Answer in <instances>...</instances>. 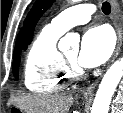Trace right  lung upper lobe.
<instances>
[{"instance_id":"right-lung-upper-lobe-1","label":"right lung upper lobe","mask_w":123,"mask_h":113,"mask_svg":"<svg viewBox=\"0 0 123 113\" xmlns=\"http://www.w3.org/2000/svg\"><path fill=\"white\" fill-rule=\"evenodd\" d=\"M21 50H22V31H20L18 36H17V41H16L14 53L21 52Z\"/></svg>"}]
</instances>
